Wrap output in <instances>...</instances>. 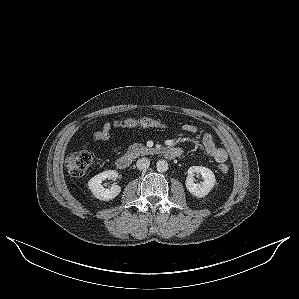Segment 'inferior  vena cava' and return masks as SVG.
I'll return each mask as SVG.
<instances>
[{"instance_id":"obj_1","label":"inferior vena cava","mask_w":299,"mask_h":299,"mask_svg":"<svg viewBox=\"0 0 299 299\" xmlns=\"http://www.w3.org/2000/svg\"><path fill=\"white\" fill-rule=\"evenodd\" d=\"M136 165L139 170H145L149 167L150 160L147 157H142L137 161Z\"/></svg>"}]
</instances>
